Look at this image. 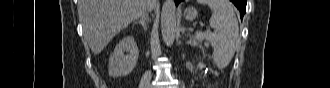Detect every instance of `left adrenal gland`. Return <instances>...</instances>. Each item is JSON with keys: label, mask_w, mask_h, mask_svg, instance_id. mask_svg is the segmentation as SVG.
<instances>
[{"label": "left adrenal gland", "mask_w": 330, "mask_h": 88, "mask_svg": "<svg viewBox=\"0 0 330 88\" xmlns=\"http://www.w3.org/2000/svg\"><path fill=\"white\" fill-rule=\"evenodd\" d=\"M187 44H191V40L190 41H187Z\"/></svg>", "instance_id": "a2214340"}]
</instances>
